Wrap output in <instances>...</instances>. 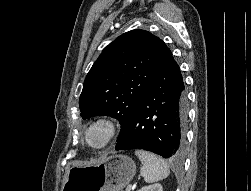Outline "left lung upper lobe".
I'll use <instances>...</instances> for the list:
<instances>
[{
    "instance_id": "1",
    "label": "left lung upper lobe",
    "mask_w": 251,
    "mask_h": 191,
    "mask_svg": "<svg viewBox=\"0 0 251 191\" xmlns=\"http://www.w3.org/2000/svg\"><path fill=\"white\" fill-rule=\"evenodd\" d=\"M171 57L165 43L148 31L119 36L104 48L85 78L79 99L82 118H117L122 125L118 141Z\"/></svg>"
}]
</instances>
